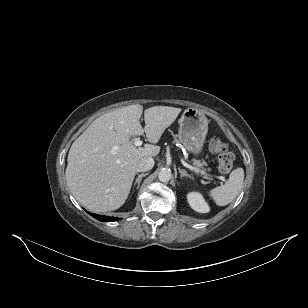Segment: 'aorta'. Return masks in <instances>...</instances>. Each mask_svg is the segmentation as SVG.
Here are the masks:
<instances>
[{
	"mask_svg": "<svg viewBox=\"0 0 308 308\" xmlns=\"http://www.w3.org/2000/svg\"><path fill=\"white\" fill-rule=\"evenodd\" d=\"M171 171L168 169H162L159 173H158V179L161 182H169V180L171 179Z\"/></svg>",
	"mask_w": 308,
	"mask_h": 308,
	"instance_id": "obj_1",
	"label": "aorta"
}]
</instances>
